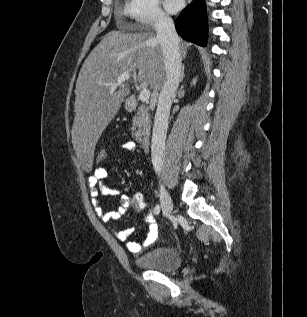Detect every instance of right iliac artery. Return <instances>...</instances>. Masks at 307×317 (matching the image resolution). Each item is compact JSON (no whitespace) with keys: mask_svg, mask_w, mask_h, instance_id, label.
Here are the masks:
<instances>
[{"mask_svg":"<svg viewBox=\"0 0 307 317\" xmlns=\"http://www.w3.org/2000/svg\"><path fill=\"white\" fill-rule=\"evenodd\" d=\"M159 212H160V206L156 205L155 208H154V213L155 214H159Z\"/></svg>","mask_w":307,"mask_h":317,"instance_id":"82829eb1","label":"right iliac artery"}]
</instances>
